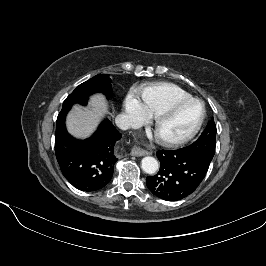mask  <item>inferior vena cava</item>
<instances>
[{"mask_svg": "<svg viewBox=\"0 0 266 266\" xmlns=\"http://www.w3.org/2000/svg\"><path fill=\"white\" fill-rule=\"evenodd\" d=\"M116 125L122 129L127 130L129 128H139V122L135 117L129 114H120L115 118Z\"/></svg>", "mask_w": 266, "mask_h": 266, "instance_id": "obj_1", "label": "inferior vena cava"}]
</instances>
